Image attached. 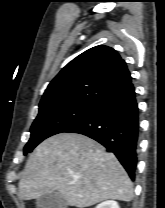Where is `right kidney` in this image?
<instances>
[{
    "instance_id": "1",
    "label": "right kidney",
    "mask_w": 165,
    "mask_h": 208,
    "mask_svg": "<svg viewBox=\"0 0 165 208\" xmlns=\"http://www.w3.org/2000/svg\"><path fill=\"white\" fill-rule=\"evenodd\" d=\"M95 208H120V207L116 201L108 200L100 203Z\"/></svg>"
}]
</instances>
